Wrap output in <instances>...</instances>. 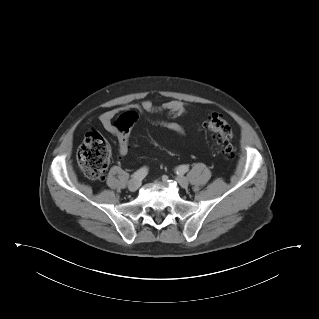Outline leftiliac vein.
Wrapping results in <instances>:
<instances>
[{"instance_id": "obj_1", "label": "left iliac vein", "mask_w": 319, "mask_h": 319, "mask_svg": "<svg viewBox=\"0 0 319 319\" xmlns=\"http://www.w3.org/2000/svg\"><path fill=\"white\" fill-rule=\"evenodd\" d=\"M176 180L179 183V185L183 188H186L189 185L188 179L182 175H178L176 177Z\"/></svg>"}]
</instances>
